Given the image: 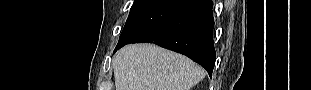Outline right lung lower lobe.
Listing matches in <instances>:
<instances>
[{
	"label": "right lung lower lobe",
	"mask_w": 311,
	"mask_h": 90,
	"mask_svg": "<svg viewBox=\"0 0 311 90\" xmlns=\"http://www.w3.org/2000/svg\"><path fill=\"white\" fill-rule=\"evenodd\" d=\"M212 8L211 0H191L170 19L130 43L151 42L184 54L212 76L216 59Z\"/></svg>",
	"instance_id": "1"
}]
</instances>
